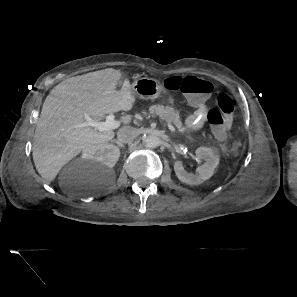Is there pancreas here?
I'll list each match as a JSON object with an SVG mask.
<instances>
[{"mask_svg":"<svg viewBox=\"0 0 297 297\" xmlns=\"http://www.w3.org/2000/svg\"><path fill=\"white\" fill-rule=\"evenodd\" d=\"M149 111L152 115L159 116L161 120H164L170 124H174V126L179 130V132L186 133V136L190 140H193L192 136L187 134L186 128L183 126L179 113L175 111L172 107L163 105H152L149 108Z\"/></svg>","mask_w":297,"mask_h":297,"instance_id":"cf45deb5","label":"pancreas"}]
</instances>
